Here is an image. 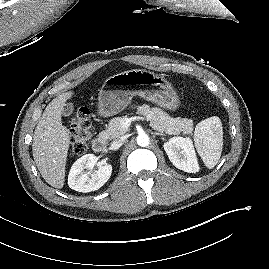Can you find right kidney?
Masks as SVG:
<instances>
[{
    "label": "right kidney",
    "mask_w": 269,
    "mask_h": 269,
    "mask_svg": "<svg viewBox=\"0 0 269 269\" xmlns=\"http://www.w3.org/2000/svg\"><path fill=\"white\" fill-rule=\"evenodd\" d=\"M94 154H86L79 158L71 167L68 175V185L78 192H91L101 188L112 174V166L103 162L95 172L91 170L97 164ZM85 169L89 170L88 172Z\"/></svg>",
    "instance_id": "obj_1"
}]
</instances>
